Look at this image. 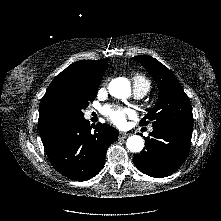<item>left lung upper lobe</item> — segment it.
I'll list each match as a JSON object with an SVG mask.
<instances>
[{
  "instance_id": "1",
  "label": "left lung upper lobe",
  "mask_w": 221,
  "mask_h": 221,
  "mask_svg": "<svg viewBox=\"0 0 221 221\" xmlns=\"http://www.w3.org/2000/svg\"><path fill=\"white\" fill-rule=\"evenodd\" d=\"M157 82L159 98L153 109L140 121L147 125L153 121V127L172 126L192 129L193 115L189 97L174 74L155 58L150 56H135Z\"/></svg>"
}]
</instances>
